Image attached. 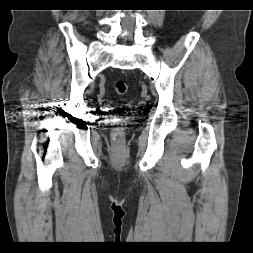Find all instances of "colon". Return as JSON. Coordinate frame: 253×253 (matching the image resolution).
<instances>
[{
  "label": "colon",
  "mask_w": 253,
  "mask_h": 253,
  "mask_svg": "<svg viewBox=\"0 0 253 253\" xmlns=\"http://www.w3.org/2000/svg\"><path fill=\"white\" fill-rule=\"evenodd\" d=\"M114 90L117 94H125L127 92V84L123 80H116L113 84ZM111 138L115 143H121L124 139V131L117 127L112 131Z\"/></svg>",
  "instance_id": "5ec220e1"
}]
</instances>
